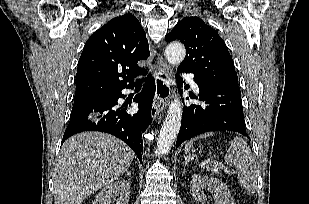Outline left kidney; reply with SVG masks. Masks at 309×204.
Returning <instances> with one entry per match:
<instances>
[{"label":"left kidney","mask_w":309,"mask_h":204,"mask_svg":"<svg viewBox=\"0 0 309 204\" xmlns=\"http://www.w3.org/2000/svg\"><path fill=\"white\" fill-rule=\"evenodd\" d=\"M206 187L215 192L214 204H236L228 187L221 180L215 177L194 174L191 181L192 194L195 200L202 202V204L206 201V195L202 189Z\"/></svg>","instance_id":"1"}]
</instances>
